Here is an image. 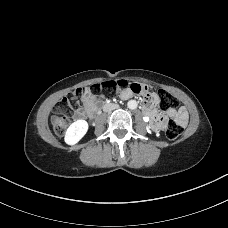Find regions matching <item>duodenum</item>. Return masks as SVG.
I'll return each instance as SVG.
<instances>
[{
    "label": "duodenum",
    "instance_id": "obj_1",
    "mask_svg": "<svg viewBox=\"0 0 228 228\" xmlns=\"http://www.w3.org/2000/svg\"><path fill=\"white\" fill-rule=\"evenodd\" d=\"M113 106H116V105H113ZM97 109H98V107H97ZM95 112H96V111H95ZM154 123H155V120L152 119V118H150L149 125H150L151 128H153Z\"/></svg>",
    "mask_w": 228,
    "mask_h": 228
}]
</instances>
